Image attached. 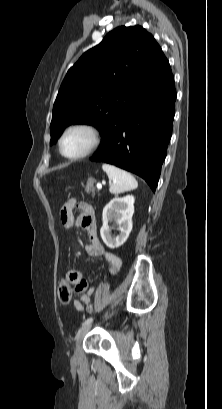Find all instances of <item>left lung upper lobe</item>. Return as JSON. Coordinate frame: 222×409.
I'll use <instances>...</instances> for the list:
<instances>
[{
  "instance_id": "left-lung-upper-lobe-1",
  "label": "left lung upper lobe",
  "mask_w": 222,
  "mask_h": 409,
  "mask_svg": "<svg viewBox=\"0 0 222 409\" xmlns=\"http://www.w3.org/2000/svg\"><path fill=\"white\" fill-rule=\"evenodd\" d=\"M170 72L159 44L144 28L114 29L68 70L53 106L50 144L76 123L94 125L102 135L136 95Z\"/></svg>"
}]
</instances>
